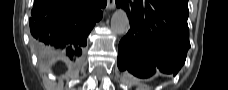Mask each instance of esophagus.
Masks as SVG:
<instances>
[{"mask_svg":"<svg viewBox=\"0 0 228 90\" xmlns=\"http://www.w3.org/2000/svg\"><path fill=\"white\" fill-rule=\"evenodd\" d=\"M115 8V0H107V9L112 10Z\"/></svg>","mask_w":228,"mask_h":90,"instance_id":"34e87169","label":"esophagus"}]
</instances>
